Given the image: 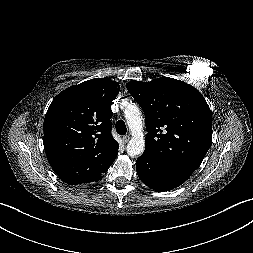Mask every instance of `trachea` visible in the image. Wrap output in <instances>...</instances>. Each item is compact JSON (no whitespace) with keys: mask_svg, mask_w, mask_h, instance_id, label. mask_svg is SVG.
I'll return each mask as SVG.
<instances>
[{"mask_svg":"<svg viewBox=\"0 0 253 253\" xmlns=\"http://www.w3.org/2000/svg\"><path fill=\"white\" fill-rule=\"evenodd\" d=\"M116 131L119 135H125L127 128L123 120H118L115 125Z\"/></svg>","mask_w":253,"mask_h":253,"instance_id":"trachea-1","label":"trachea"}]
</instances>
